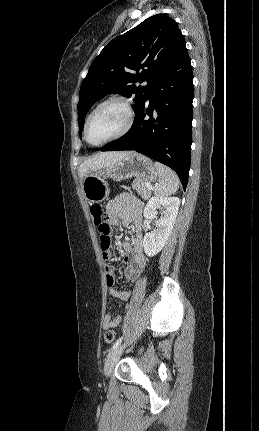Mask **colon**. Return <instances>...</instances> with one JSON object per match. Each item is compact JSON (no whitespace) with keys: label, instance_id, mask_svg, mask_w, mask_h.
<instances>
[{"label":"colon","instance_id":"1","mask_svg":"<svg viewBox=\"0 0 259 431\" xmlns=\"http://www.w3.org/2000/svg\"><path fill=\"white\" fill-rule=\"evenodd\" d=\"M90 213L98 231L103 256L105 259H108L111 256V226L105 221L103 209L100 205H91ZM114 339V330L111 328L107 329L104 333L105 342L111 344Z\"/></svg>","mask_w":259,"mask_h":431}]
</instances>
